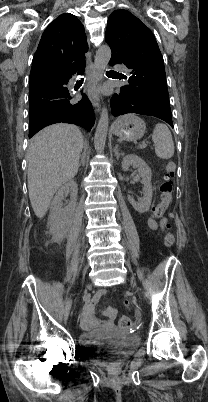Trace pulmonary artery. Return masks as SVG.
Returning <instances> with one entry per match:
<instances>
[{
    "label": "pulmonary artery",
    "instance_id": "pulmonary-artery-1",
    "mask_svg": "<svg viewBox=\"0 0 208 402\" xmlns=\"http://www.w3.org/2000/svg\"><path fill=\"white\" fill-rule=\"evenodd\" d=\"M115 69H116V73H117V74H122L123 71H124V72H127V71H128L127 68H126V66L123 65V64H121V65H116V66H115Z\"/></svg>",
    "mask_w": 208,
    "mask_h": 402
}]
</instances>
